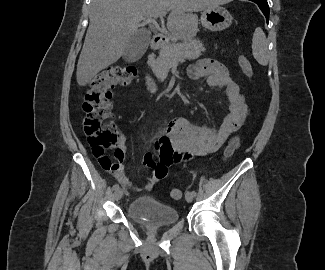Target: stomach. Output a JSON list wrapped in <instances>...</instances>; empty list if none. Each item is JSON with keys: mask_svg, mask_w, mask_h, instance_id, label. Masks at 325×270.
I'll return each instance as SVG.
<instances>
[{"mask_svg": "<svg viewBox=\"0 0 325 270\" xmlns=\"http://www.w3.org/2000/svg\"><path fill=\"white\" fill-rule=\"evenodd\" d=\"M202 25L211 31H221L232 23L231 14L222 7H207L201 14Z\"/></svg>", "mask_w": 325, "mask_h": 270, "instance_id": "0dacf381", "label": "stomach"}]
</instances>
